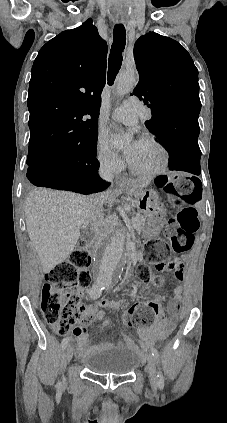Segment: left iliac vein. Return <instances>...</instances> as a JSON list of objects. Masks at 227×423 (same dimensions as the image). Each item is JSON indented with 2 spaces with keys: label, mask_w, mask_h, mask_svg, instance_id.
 <instances>
[{
  "label": "left iliac vein",
  "mask_w": 227,
  "mask_h": 423,
  "mask_svg": "<svg viewBox=\"0 0 227 423\" xmlns=\"http://www.w3.org/2000/svg\"><path fill=\"white\" fill-rule=\"evenodd\" d=\"M155 363H156L155 357L150 354L148 357V373L150 378V384L153 389H157V386H158Z\"/></svg>",
  "instance_id": "left-iliac-vein-1"
}]
</instances>
